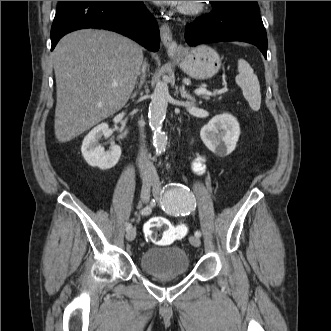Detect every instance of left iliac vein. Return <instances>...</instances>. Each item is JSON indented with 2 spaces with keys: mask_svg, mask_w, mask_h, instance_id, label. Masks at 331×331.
<instances>
[{
  "mask_svg": "<svg viewBox=\"0 0 331 331\" xmlns=\"http://www.w3.org/2000/svg\"><path fill=\"white\" fill-rule=\"evenodd\" d=\"M153 190L159 192L161 190V183L156 180L153 183ZM189 242L191 243V245H193L194 247H199L201 245V240L198 236H190L189 238Z\"/></svg>",
  "mask_w": 331,
  "mask_h": 331,
  "instance_id": "left-iliac-vein-1",
  "label": "left iliac vein"
}]
</instances>
